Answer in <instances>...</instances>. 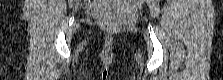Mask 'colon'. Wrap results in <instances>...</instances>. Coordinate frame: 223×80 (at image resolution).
Instances as JSON below:
<instances>
[{
  "instance_id": "1",
  "label": "colon",
  "mask_w": 223,
  "mask_h": 80,
  "mask_svg": "<svg viewBox=\"0 0 223 80\" xmlns=\"http://www.w3.org/2000/svg\"><path fill=\"white\" fill-rule=\"evenodd\" d=\"M103 28L107 31H114L116 29V26L112 23H103Z\"/></svg>"
}]
</instances>
